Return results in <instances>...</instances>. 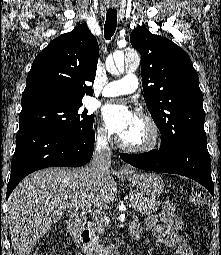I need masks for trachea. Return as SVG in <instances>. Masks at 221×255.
<instances>
[{
  "label": "trachea",
  "mask_w": 221,
  "mask_h": 255,
  "mask_svg": "<svg viewBox=\"0 0 221 255\" xmlns=\"http://www.w3.org/2000/svg\"><path fill=\"white\" fill-rule=\"evenodd\" d=\"M117 26V11L109 9L106 14V21L104 25V35L107 40H110L115 33Z\"/></svg>",
  "instance_id": "1"
}]
</instances>
